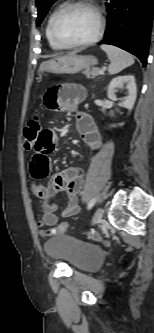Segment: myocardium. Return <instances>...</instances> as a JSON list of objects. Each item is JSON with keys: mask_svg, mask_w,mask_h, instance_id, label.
I'll use <instances>...</instances> for the list:
<instances>
[{"mask_svg": "<svg viewBox=\"0 0 154 333\" xmlns=\"http://www.w3.org/2000/svg\"><path fill=\"white\" fill-rule=\"evenodd\" d=\"M76 7H86L93 10L97 17V29L95 34L88 40L69 43L64 41L58 34L57 26L61 19V17L69 10L76 8ZM104 32V18L101 11L92 3L79 0V1H71L63 5L54 15L52 22H51V34L55 42L63 48H79V47H86L96 43L102 36Z\"/></svg>", "mask_w": 154, "mask_h": 333, "instance_id": "f54148a6", "label": "myocardium"}]
</instances>
